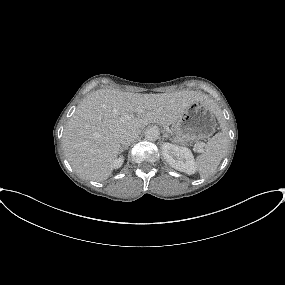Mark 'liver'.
<instances>
[{
	"label": "liver",
	"mask_w": 285,
	"mask_h": 285,
	"mask_svg": "<svg viewBox=\"0 0 285 285\" xmlns=\"http://www.w3.org/2000/svg\"><path fill=\"white\" fill-rule=\"evenodd\" d=\"M202 102L218 115L217 107L195 91L140 94L112 89L90 93L67 122L62 146L73 170L81 177L103 181L111 176L120 153V136L150 123L175 124L194 103ZM143 110L137 117L134 112Z\"/></svg>",
	"instance_id": "6515ba94"
}]
</instances>
